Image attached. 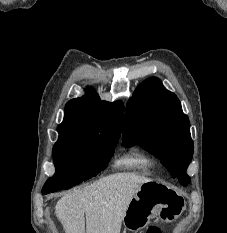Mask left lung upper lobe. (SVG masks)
<instances>
[{"instance_id":"obj_1","label":"left lung upper lobe","mask_w":227,"mask_h":233,"mask_svg":"<svg viewBox=\"0 0 227 233\" xmlns=\"http://www.w3.org/2000/svg\"><path fill=\"white\" fill-rule=\"evenodd\" d=\"M189 127V119L177 96L158 78H148L127 102L123 145H141L187 186L190 178L186 170L193 156Z\"/></svg>"}]
</instances>
